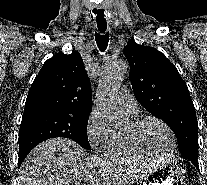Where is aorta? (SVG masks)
Masks as SVG:
<instances>
[{"mask_svg": "<svg viewBox=\"0 0 207 185\" xmlns=\"http://www.w3.org/2000/svg\"><path fill=\"white\" fill-rule=\"evenodd\" d=\"M128 70V63L122 59H112L105 63L100 72L96 91V105L106 121L114 129H121L128 123V115L117 101L118 90Z\"/></svg>", "mask_w": 207, "mask_h": 185, "instance_id": "1", "label": "aorta"}]
</instances>
